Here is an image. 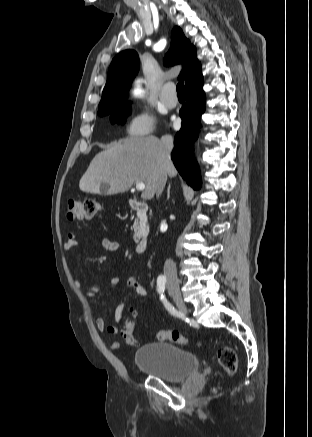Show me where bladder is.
Returning a JSON list of instances; mask_svg holds the SVG:
<instances>
[{
	"label": "bladder",
	"mask_w": 312,
	"mask_h": 437,
	"mask_svg": "<svg viewBox=\"0 0 312 437\" xmlns=\"http://www.w3.org/2000/svg\"><path fill=\"white\" fill-rule=\"evenodd\" d=\"M135 364L139 370L171 383L200 372L199 360L193 352L165 341L141 346L136 351Z\"/></svg>",
	"instance_id": "31cf9c89"
}]
</instances>
